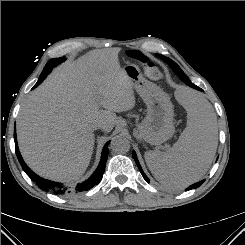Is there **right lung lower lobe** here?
Listing matches in <instances>:
<instances>
[{"label": "right lung lower lobe", "mask_w": 245, "mask_h": 245, "mask_svg": "<svg viewBox=\"0 0 245 245\" xmlns=\"http://www.w3.org/2000/svg\"><path fill=\"white\" fill-rule=\"evenodd\" d=\"M53 67L55 66L46 64L37 83L33 88H36L47 77V75L52 71ZM14 140H15V147H16V155L18 157V160L23 170L34 182L38 184L39 187H41L44 190L53 192L55 194H67L70 193L71 191L77 193V192L87 191L91 189L95 184L99 183V181L102 179L105 170L106 161H107V156H108L107 146L109 145L110 141L107 142L103 147L101 161L99 163V166L95 170V172L92 174V176L88 178L86 181H84L83 183L78 184L75 188H72L71 190L70 188L63 186L61 183L49 181L36 175L23 161V158L18 149L16 130H14Z\"/></svg>", "instance_id": "right-lung-lower-lobe-1"}]
</instances>
